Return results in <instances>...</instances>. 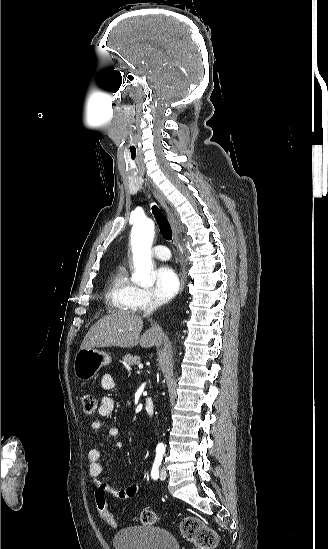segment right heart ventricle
Here are the masks:
<instances>
[{"mask_svg":"<svg viewBox=\"0 0 328 549\" xmlns=\"http://www.w3.org/2000/svg\"><path fill=\"white\" fill-rule=\"evenodd\" d=\"M140 303L142 289L129 278L126 266H119L108 283L104 310H139Z\"/></svg>","mask_w":328,"mask_h":549,"instance_id":"obj_1","label":"right heart ventricle"}]
</instances>
